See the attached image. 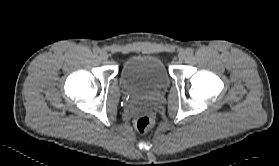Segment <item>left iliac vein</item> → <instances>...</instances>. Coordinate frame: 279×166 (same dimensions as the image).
<instances>
[{
	"label": "left iliac vein",
	"mask_w": 279,
	"mask_h": 166,
	"mask_svg": "<svg viewBox=\"0 0 279 166\" xmlns=\"http://www.w3.org/2000/svg\"><path fill=\"white\" fill-rule=\"evenodd\" d=\"M187 57V53L185 51H181L178 54L179 60H184Z\"/></svg>",
	"instance_id": "1"
}]
</instances>
